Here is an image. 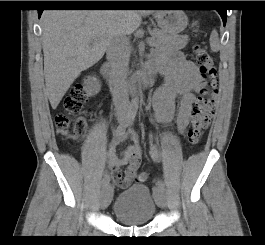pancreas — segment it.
Segmentation results:
<instances>
[{
	"mask_svg": "<svg viewBox=\"0 0 265 245\" xmlns=\"http://www.w3.org/2000/svg\"><path fill=\"white\" fill-rule=\"evenodd\" d=\"M158 49L180 50L186 47L189 37L187 35H171L163 30L154 29L151 38Z\"/></svg>",
	"mask_w": 265,
	"mask_h": 245,
	"instance_id": "cf45deb5",
	"label": "pancreas"
}]
</instances>
